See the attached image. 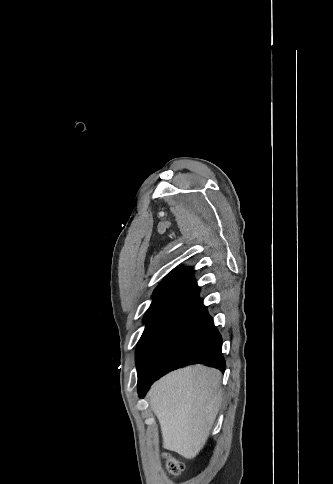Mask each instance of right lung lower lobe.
<instances>
[{
  "label": "right lung lower lobe",
  "mask_w": 333,
  "mask_h": 484,
  "mask_svg": "<svg viewBox=\"0 0 333 484\" xmlns=\"http://www.w3.org/2000/svg\"><path fill=\"white\" fill-rule=\"evenodd\" d=\"M199 290L194 282L157 305L137 364L140 397L155 380L185 365L203 363L225 371L222 338Z\"/></svg>",
  "instance_id": "1"
}]
</instances>
